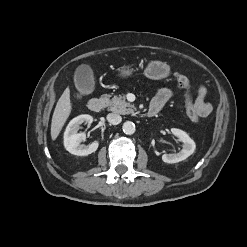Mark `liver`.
<instances>
[{
    "label": "liver",
    "instance_id": "obj_1",
    "mask_svg": "<svg viewBox=\"0 0 247 247\" xmlns=\"http://www.w3.org/2000/svg\"><path fill=\"white\" fill-rule=\"evenodd\" d=\"M72 110L70 90L66 88L59 98L51 121V138L56 140Z\"/></svg>",
    "mask_w": 247,
    "mask_h": 247
}]
</instances>
